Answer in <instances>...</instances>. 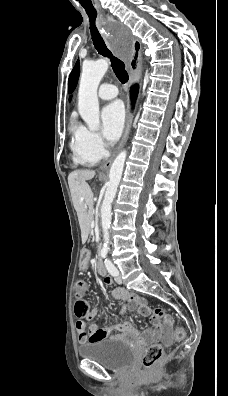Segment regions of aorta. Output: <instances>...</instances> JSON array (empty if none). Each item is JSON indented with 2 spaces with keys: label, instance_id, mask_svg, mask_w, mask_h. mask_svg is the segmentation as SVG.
<instances>
[{
  "label": "aorta",
  "instance_id": "obj_1",
  "mask_svg": "<svg viewBox=\"0 0 228 396\" xmlns=\"http://www.w3.org/2000/svg\"><path fill=\"white\" fill-rule=\"evenodd\" d=\"M108 67L109 61L107 59H99L93 63H85L82 68L78 91V111L88 128L92 131L98 130L100 126L97 89ZM126 156L127 152L125 150L121 151L110 168L109 182L101 206L103 250L109 249V229L112 219L111 204L122 177Z\"/></svg>",
  "mask_w": 228,
  "mask_h": 396
}]
</instances>
